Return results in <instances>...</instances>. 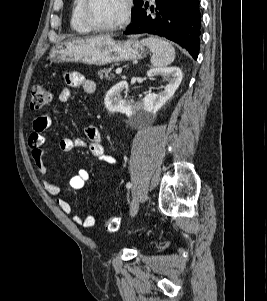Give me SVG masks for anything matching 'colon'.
Returning <instances> with one entry per match:
<instances>
[{"label": "colon", "mask_w": 267, "mask_h": 301, "mask_svg": "<svg viewBox=\"0 0 267 301\" xmlns=\"http://www.w3.org/2000/svg\"><path fill=\"white\" fill-rule=\"evenodd\" d=\"M52 93L49 89L42 85H36L32 88L31 108L41 109L48 106L52 102ZM108 232H116L120 227V219L118 217H110L105 223Z\"/></svg>", "instance_id": "1"}]
</instances>
